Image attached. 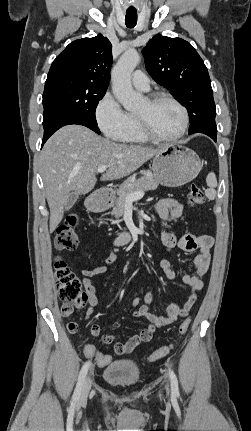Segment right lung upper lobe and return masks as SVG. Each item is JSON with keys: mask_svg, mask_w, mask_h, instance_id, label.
<instances>
[{"mask_svg": "<svg viewBox=\"0 0 251 431\" xmlns=\"http://www.w3.org/2000/svg\"><path fill=\"white\" fill-rule=\"evenodd\" d=\"M112 45L101 34L71 42L53 61L48 75L60 73L108 86Z\"/></svg>", "mask_w": 251, "mask_h": 431, "instance_id": "1", "label": "right lung upper lobe"}]
</instances>
